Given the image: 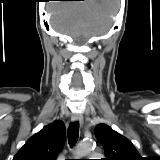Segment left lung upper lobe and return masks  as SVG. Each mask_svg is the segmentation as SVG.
I'll return each mask as SVG.
<instances>
[{
  "label": "left lung upper lobe",
  "instance_id": "obj_1",
  "mask_svg": "<svg viewBox=\"0 0 160 160\" xmlns=\"http://www.w3.org/2000/svg\"><path fill=\"white\" fill-rule=\"evenodd\" d=\"M94 132L105 150L106 158L103 160H143L132 142L110 126L99 124Z\"/></svg>",
  "mask_w": 160,
  "mask_h": 160
}]
</instances>
